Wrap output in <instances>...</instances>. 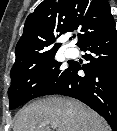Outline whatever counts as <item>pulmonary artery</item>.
<instances>
[{"instance_id":"pulmonary-artery-1","label":"pulmonary artery","mask_w":117,"mask_h":131,"mask_svg":"<svg viewBox=\"0 0 117 131\" xmlns=\"http://www.w3.org/2000/svg\"><path fill=\"white\" fill-rule=\"evenodd\" d=\"M67 55H68L69 57H73V56L75 55L74 50H72V49L67 50Z\"/></svg>"}]
</instances>
